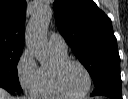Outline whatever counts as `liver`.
Segmentation results:
<instances>
[{"mask_svg": "<svg viewBox=\"0 0 128 99\" xmlns=\"http://www.w3.org/2000/svg\"><path fill=\"white\" fill-rule=\"evenodd\" d=\"M0 99H14V98H12L6 90L0 88ZM23 99H27V98H23Z\"/></svg>", "mask_w": 128, "mask_h": 99, "instance_id": "obj_1", "label": "liver"}]
</instances>
